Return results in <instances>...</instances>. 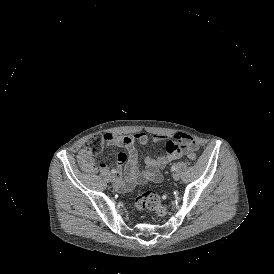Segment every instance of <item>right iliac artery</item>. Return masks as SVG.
I'll return each mask as SVG.
<instances>
[{
    "instance_id": "right-iliac-artery-1",
    "label": "right iliac artery",
    "mask_w": 274,
    "mask_h": 274,
    "mask_svg": "<svg viewBox=\"0 0 274 274\" xmlns=\"http://www.w3.org/2000/svg\"><path fill=\"white\" fill-rule=\"evenodd\" d=\"M117 171L115 169L111 170V173L115 174Z\"/></svg>"
}]
</instances>
